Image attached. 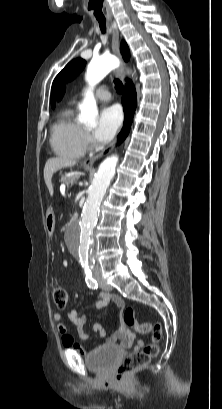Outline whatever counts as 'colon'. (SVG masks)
Wrapping results in <instances>:
<instances>
[{"instance_id": "1", "label": "colon", "mask_w": 222, "mask_h": 409, "mask_svg": "<svg viewBox=\"0 0 222 409\" xmlns=\"http://www.w3.org/2000/svg\"><path fill=\"white\" fill-rule=\"evenodd\" d=\"M51 293L55 305L59 309H64L68 303V293L66 289L58 284H53L51 288ZM123 320L128 326L134 327L140 333H148L152 331V342L146 344L141 350L136 351L128 355L118 366L115 379L119 383L126 382L128 376L146 366L151 358L155 357L158 352V342L162 339L163 330L159 323L151 325L150 323H137L134 319V310L131 307L125 309L123 314ZM69 337L66 335L63 341H67Z\"/></svg>"}]
</instances>
